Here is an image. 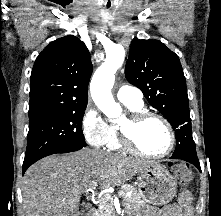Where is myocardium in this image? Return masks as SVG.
<instances>
[{
    "label": "myocardium",
    "instance_id": "f54148a6",
    "mask_svg": "<svg viewBox=\"0 0 221 216\" xmlns=\"http://www.w3.org/2000/svg\"><path fill=\"white\" fill-rule=\"evenodd\" d=\"M151 118L161 121L165 125L169 133V139H170L169 146L167 150L164 151L163 153L159 154L149 153L145 151L137 142V133L139 128L146 120ZM118 135L121 145L124 149L136 153L140 156L152 159L167 157L172 153L176 144V134L169 120L163 115L147 109L130 113L129 115L123 117L118 122Z\"/></svg>",
    "mask_w": 221,
    "mask_h": 216
}]
</instances>
